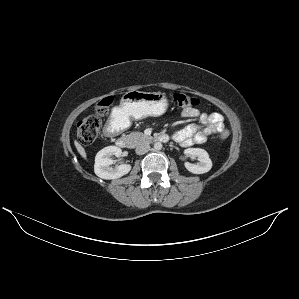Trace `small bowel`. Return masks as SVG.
<instances>
[{"label":"small bowel","mask_w":299,"mask_h":299,"mask_svg":"<svg viewBox=\"0 0 299 299\" xmlns=\"http://www.w3.org/2000/svg\"><path fill=\"white\" fill-rule=\"evenodd\" d=\"M181 115L199 122L189 124L173 134V140L183 147L201 144L210 135L220 134L225 129L224 118L218 113L207 114L195 108H186Z\"/></svg>","instance_id":"small-bowel-1"}]
</instances>
